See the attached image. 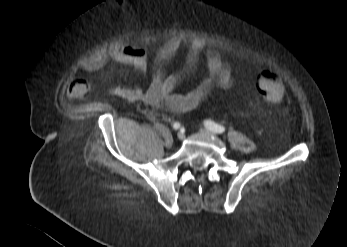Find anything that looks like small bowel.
<instances>
[{"label": "small bowel", "instance_id": "obj_1", "mask_svg": "<svg viewBox=\"0 0 347 247\" xmlns=\"http://www.w3.org/2000/svg\"><path fill=\"white\" fill-rule=\"evenodd\" d=\"M182 47V41L174 38L165 41L157 49L152 60V78L148 88L117 84L111 87L112 94L130 102L141 101L154 108L150 117L156 119L160 115V109L173 113L189 112L198 108L214 88L228 89L233 86L230 64L224 61L217 51L209 50L205 55L207 75L188 92L175 93L179 83L195 70L204 50V45L200 41L189 42L182 67L174 73L167 74L166 66ZM109 61L132 66L139 75H144L148 66L147 52L144 48L126 45L93 54L82 61L81 67L85 72L92 73L102 69ZM69 92L77 97L84 96L86 85L82 81L75 82L69 87Z\"/></svg>", "mask_w": 347, "mask_h": 247}]
</instances>
